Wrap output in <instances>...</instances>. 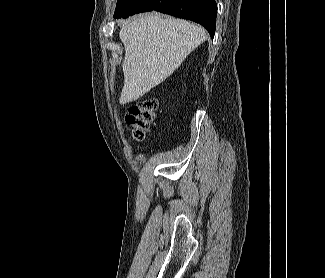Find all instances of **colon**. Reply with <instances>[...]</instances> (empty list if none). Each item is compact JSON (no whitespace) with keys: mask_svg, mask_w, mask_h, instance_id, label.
<instances>
[{"mask_svg":"<svg viewBox=\"0 0 325 278\" xmlns=\"http://www.w3.org/2000/svg\"><path fill=\"white\" fill-rule=\"evenodd\" d=\"M157 105L155 99L148 98L138 101L129 108L125 123L135 140L141 141L145 138L146 131L155 119Z\"/></svg>","mask_w":325,"mask_h":278,"instance_id":"obj_1","label":"colon"}]
</instances>
